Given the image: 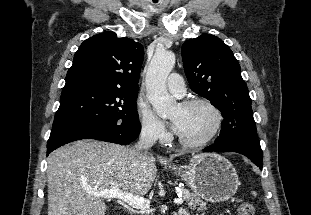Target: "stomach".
Segmentation results:
<instances>
[{"label":"stomach","instance_id":"1","mask_svg":"<svg viewBox=\"0 0 311 215\" xmlns=\"http://www.w3.org/2000/svg\"><path fill=\"white\" fill-rule=\"evenodd\" d=\"M194 193L206 201L231 199L239 186L237 172L225 157L209 153L196 155L182 168L172 167Z\"/></svg>","mask_w":311,"mask_h":215}]
</instances>
